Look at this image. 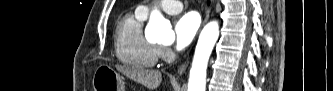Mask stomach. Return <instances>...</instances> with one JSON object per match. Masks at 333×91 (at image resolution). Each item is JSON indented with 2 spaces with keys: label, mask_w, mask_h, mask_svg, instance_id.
<instances>
[{
  "label": "stomach",
  "mask_w": 333,
  "mask_h": 91,
  "mask_svg": "<svg viewBox=\"0 0 333 91\" xmlns=\"http://www.w3.org/2000/svg\"><path fill=\"white\" fill-rule=\"evenodd\" d=\"M94 91H125L122 76L108 65H100L93 76Z\"/></svg>",
  "instance_id": "1"
}]
</instances>
